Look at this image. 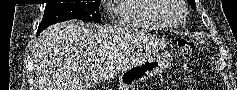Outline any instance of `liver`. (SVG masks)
Here are the masks:
<instances>
[{"label":"liver","mask_w":237,"mask_h":90,"mask_svg":"<svg viewBox=\"0 0 237 90\" xmlns=\"http://www.w3.org/2000/svg\"><path fill=\"white\" fill-rule=\"evenodd\" d=\"M118 28L62 22L42 32L37 48L39 90H89L119 68Z\"/></svg>","instance_id":"obj_1"}]
</instances>
